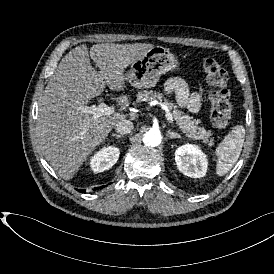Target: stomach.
Returning <instances> with one entry per match:
<instances>
[{
  "mask_svg": "<svg viewBox=\"0 0 274 274\" xmlns=\"http://www.w3.org/2000/svg\"><path fill=\"white\" fill-rule=\"evenodd\" d=\"M177 68L175 55L167 48L155 46L148 50L144 57L132 63L125 77L135 88H151L156 85L162 74Z\"/></svg>",
  "mask_w": 274,
  "mask_h": 274,
  "instance_id": "1",
  "label": "stomach"
}]
</instances>
